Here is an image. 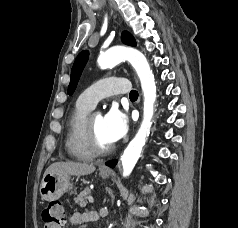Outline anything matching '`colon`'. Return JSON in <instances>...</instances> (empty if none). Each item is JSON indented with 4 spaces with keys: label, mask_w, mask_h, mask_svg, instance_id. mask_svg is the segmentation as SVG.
<instances>
[{
    "label": "colon",
    "mask_w": 238,
    "mask_h": 228,
    "mask_svg": "<svg viewBox=\"0 0 238 228\" xmlns=\"http://www.w3.org/2000/svg\"><path fill=\"white\" fill-rule=\"evenodd\" d=\"M64 220V210L60 201L50 202L42 211V221L47 224H61Z\"/></svg>",
    "instance_id": "1"
}]
</instances>
